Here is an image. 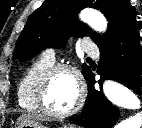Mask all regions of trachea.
<instances>
[{
  "label": "trachea",
  "mask_w": 142,
  "mask_h": 128,
  "mask_svg": "<svg viewBox=\"0 0 142 128\" xmlns=\"http://www.w3.org/2000/svg\"><path fill=\"white\" fill-rule=\"evenodd\" d=\"M87 59H88V60H91V58H89V57H88Z\"/></svg>",
  "instance_id": "obj_1"
}]
</instances>
